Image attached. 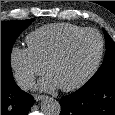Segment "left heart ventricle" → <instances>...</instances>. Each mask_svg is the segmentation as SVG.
Wrapping results in <instances>:
<instances>
[{"mask_svg":"<svg viewBox=\"0 0 115 115\" xmlns=\"http://www.w3.org/2000/svg\"><path fill=\"white\" fill-rule=\"evenodd\" d=\"M100 48L99 38L94 33L79 37L64 57L50 69L59 86L70 85L81 79L93 66Z\"/></svg>","mask_w":115,"mask_h":115,"instance_id":"1","label":"left heart ventricle"}]
</instances>
